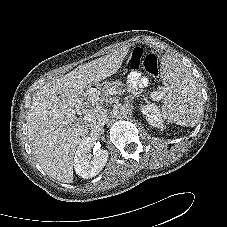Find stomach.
Listing matches in <instances>:
<instances>
[{"label": "stomach", "mask_w": 227, "mask_h": 227, "mask_svg": "<svg viewBox=\"0 0 227 227\" xmlns=\"http://www.w3.org/2000/svg\"><path fill=\"white\" fill-rule=\"evenodd\" d=\"M111 85H112V80L110 78H105L99 81L89 83L87 85L86 96H87V92L89 94H94L97 91H100L103 89H109Z\"/></svg>", "instance_id": "1"}]
</instances>
